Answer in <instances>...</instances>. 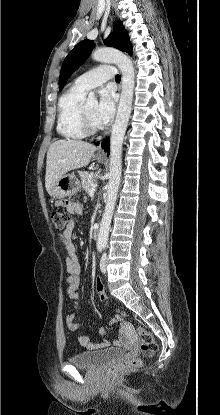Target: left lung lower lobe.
<instances>
[{
    "label": "left lung lower lobe",
    "instance_id": "obj_1",
    "mask_svg": "<svg viewBox=\"0 0 220 415\" xmlns=\"http://www.w3.org/2000/svg\"><path fill=\"white\" fill-rule=\"evenodd\" d=\"M99 143H97L98 145ZM102 148L108 153L110 152V141L108 138H106V140L102 143Z\"/></svg>",
    "mask_w": 220,
    "mask_h": 415
}]
</instances>
